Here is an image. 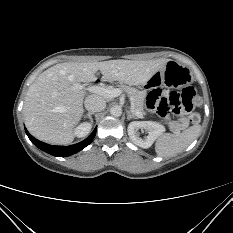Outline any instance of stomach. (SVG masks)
Listing matches in <instances>:
<instances>
[{
  "label": "stomach",
  "mask_w": 233,
  "mask_h": 233,
  "mask_svg": "<svg viewBox=\"0 0 233 233\" xmlns=\"http://www.w3.org/2000/svg\"><path fill=\"white\" fill-rule=\"evenodd\" d=\"M192 79V73L186 66L175 61H169L148 82L144 83L142 87L146 91L161 84L171 88H181L188 85Z\"/></svg>",
  "instance_id": "0dacf381"
}]
</instances>
